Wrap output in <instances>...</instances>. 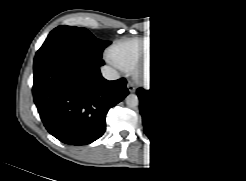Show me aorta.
<instances>
[{
  "instance_id": "aorta-1",
  "label": "aorta",
  "mask_w": 246,
  "mask_h": 181,
  "mask_svg": "<svg viewBox=\"0 0 246 181\" xmlns=\"http://www.w3.org/2000/svg\"><path fill=\"white\" fill-rule=\"evenodd\" d=\"M125 102L128 107H136L138 105V97L134 94H130L126 97Z\"/></svg>"
}]
</instances>
